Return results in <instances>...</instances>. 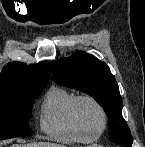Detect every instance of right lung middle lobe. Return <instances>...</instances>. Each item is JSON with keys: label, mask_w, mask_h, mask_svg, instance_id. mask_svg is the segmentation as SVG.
<instances>
[{"label": "right lung middle lobe", "mask_w": 145, "mask_h": 147, "mask_svg": "<svg viewBox=\"0 0 145 147\" xmlns=\"http://www.w3.org/2000/svg\"><path fill=\"white\" fill-rule=\"evenodd\" d=\"M44 87L22 88L0 93V140L29 137V120L34 100Z\"/></svg>", "instance_id": "dd1d6c3e"}]
</instances>
